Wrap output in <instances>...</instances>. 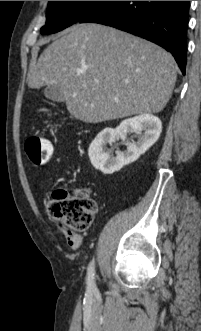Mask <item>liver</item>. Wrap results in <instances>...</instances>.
I'll return each instance as SVG.
<instances>
[{"instance_id":"liver-1","label":"liver","mask_w":201,"mask_h":331,"mask_svg":"<svg viewBox=\"0 0 201 331\" xmlns=\"http://www.w3.org/2000/svg\"><path fill=\"white\" fill-rule=\"evenodd\" d=\"M175 60L161 47L100 24L62 33L31 67L28 86L58 85L69 113L87 123L159 113L176 83Z\"/></svg>"}]
</instances>
